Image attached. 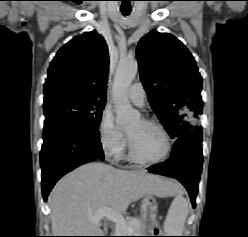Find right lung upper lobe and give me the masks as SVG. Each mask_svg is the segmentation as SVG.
Returning <instances> with one entry per match:
<instances>
[{"label":"right lung upper lobe","instance_id":"obj_1","mask_svg":"<svg viewBox=\"0 0 248 237\" xmlns=\"http://www.w3.org/2000/svg\"><path fill=\"white\" fill-rule=\"evenodd\" d=\"M104 38L95 31L74 37L57 52L44 84V102L59 97L104 101L109 65Z\"/></svg>","mask_w":248,"mask_h":237}]
</instances>
